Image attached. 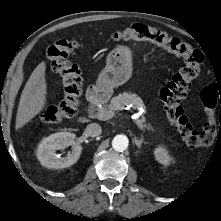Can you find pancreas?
Segmentation results:
<instances>
[{"instance_id":"1","label":"pancreas","mask_w":221,"mask_h":221,"mask_svg":"<svg viewBox=\"0 0 221 221\" xmlns=\"http://www.w3.org/2000/svg\"><path fill=\"white\" fill-rule=\"evenodd\" d=\"M130 104L133 106L134 109L145 107L143 100L135 93L123 92L122 94L113 97L110 101V104L107 107L101 109H109L110 111L123 110L125 106ZM140 120L142 124L146 122L144 116H142ZM143 126L149 130L152 129L150 124H143Z\"/></svg>"}]
</instances>
